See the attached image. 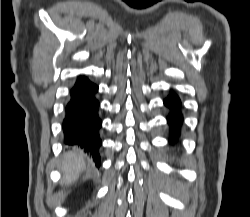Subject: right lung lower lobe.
I'll list each match as a JSON object with an SVG mask.
<instances>
[{"label": "right lung lower lobe", "mask_w": 250, "mask_h": 217, "mask_svg": "<svg viewBox=\"0 0 250 217\" xmlns=\"http://www.w3.org/2000/svg\"><path fill=\"white\" fill-rule=\"evenodd\" d=\"M98 86L85 77H79L70 91L71 98L65 107L62 123L64 140L87 152L97 167L101 165L99 130L102 121L98 116L99 102L95 97Z\"/></svg>", "instance_id": "obj_1"}]
</instances>
